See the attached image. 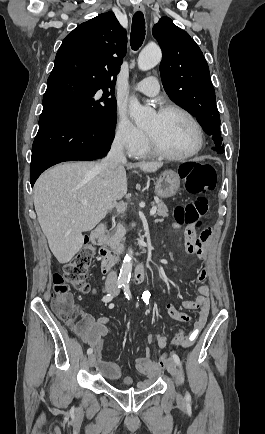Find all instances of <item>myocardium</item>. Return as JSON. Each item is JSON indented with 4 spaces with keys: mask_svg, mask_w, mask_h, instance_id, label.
Returning a JSON list of instances; mask_svg holds the SVG:
<instances>
[{
    "mask_svg": "<svg viewBox=\"0 0 265 434\" xmlns=\"http://www.w3.org/2000/svg\"><path fill=\"white\" fill-rule=\"evenodd\" d=\"M171 111H177L182 113L189 119V121L193 125L196 133V143L194 147L188 152L183 154H171L162 150L159 146H157L153 141L152 136L149 134L148 131H146L148 137V145L150 147L151 152L155 156L160 157L162 159L169 160V161H183V160L190 159L195 155H197L202 150L204 144L203 128L199 123V121L196 119V117L189 110L177 104L166 105L160 108L157 114L164 115Z\"/></svg>",
    "mask_w": 265,
    "mask_h": 434,
    "instance_id": "obj_1",
    "label": "myocardium"
}]
</instances>
